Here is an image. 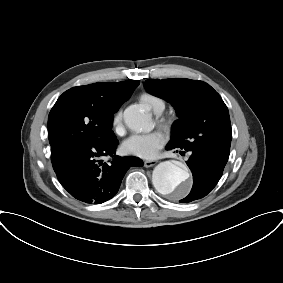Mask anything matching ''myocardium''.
Listing matches in <instances>:
<instances>
[{
    "label": "myocardium",
    "mask_w": 283,
    "mask_h": 283,
    "mask_svg": "<svg viewBox=\"0 0 283 283\" xmlns=\"http://www.w3.org/2000/svg\"><path fill=\"white\" fill-rule=\"evenodd\" d=\"M157 124L166 131H170L173 127V119L167 115H159L156 118Z\"/></svg>",
    "instance_id": "1"
}]
</instances>
